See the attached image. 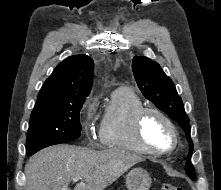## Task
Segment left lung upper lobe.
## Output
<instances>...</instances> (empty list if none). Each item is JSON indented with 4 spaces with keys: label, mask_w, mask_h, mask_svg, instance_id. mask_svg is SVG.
Wrapping results in <instances>:
<instances>
[{
    "label": "left lung upper lobe",
    "mask_w": 221,
    "mask_h": 190,
    "mask_svg": "<svg viewBox=\"0 0 221 190\" xmlns=\"http://www.w3.org/2000/svg\"><path fill=\"white\" fill-rule=\"evenodd\" d=\"M132 70L142 94L153 102L170 118L178 122L185 131L189 142V154L185 165L188 176L194 180L195 171L191 163L193 142L190 137L189 118L185 113L183 102L178 96L171 79L163 72L160 65L147 57H134Z\"/></svg>",
    "instance_id": "obj_1"
}]
</instances>
